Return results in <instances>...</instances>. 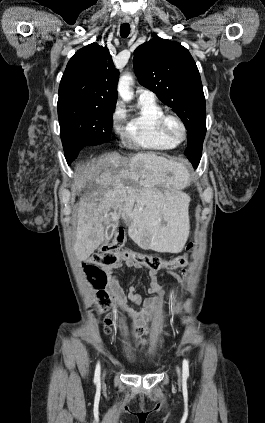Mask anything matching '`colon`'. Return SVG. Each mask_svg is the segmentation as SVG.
<instances>
[{
	"mask_svg": "<svg viewBox=\"0 0 265 423\" xmlns=\"http://www.w3.org/2000/svg\"><path fill=\"white\" fill-rule=\"evenodd\" d=\"M126 241V234L124 229H118L111 240L104 244L98 251L93 253L91 257L83 263L84 273L96 289L95 300L101 309H105L109 305V295L104 290L106 285V275L100 266H107L115 264L117 261L131 260L137 264L146 267L153 273H158L162 270H177L183 267L187 258L185 256L176 257L171 260H164L158 257L150 256L144 253L123 248ZM106 331H109L111 321H106Z\"/></svg>",
	"mask_w": 265,
	"mask_h": 423,
	"instance_id": "5ec220e1",
	"label": "colon"
}]
</instances>
